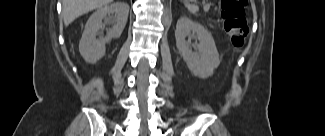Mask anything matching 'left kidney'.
<instances>
[{
    "label": "left kidney",
    "instance_id": "obj_1",
    "mask_svg": "<svg viewBox=\"0 0 325 136\" xmlns=\"http://www.w3.org/2000/svg\"><path fill=\"white\" fill-rule=\"evenodd\" d=\"M192 33L196 34L199 41L193 44L196 52L191 50V44L186 41V37H190ZM175 38L177 49L191 73L202 79L210 77L220 64L219 53L211 33L200 23L182 16L177 21Z\"/></svg>",
    "mask_w": 325,
    "mask_h": 136
}]
</instances>
